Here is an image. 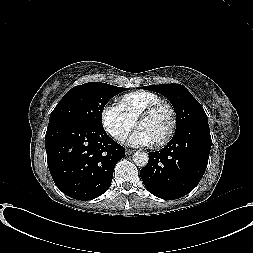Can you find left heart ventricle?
I'll return each instance as SVG.
<instances>
[{
  "label": "left heart ventricle",
  "instance_id": "1",
  "mask_svg": "<svg viewBox=\"0 0 253 253\" xmlns=\"http://www.w3.org/2000/svg\"><path fill=\"white\" fill-rule=\"evenodd\" d=\"M170 124V112L166 108H162L153 115L142 119L138 124V129L145 131L153 143H156L167 133Z\"/></svg>",
  "mask_w": 253,
  "mask_h": 253
}]
</instances>
